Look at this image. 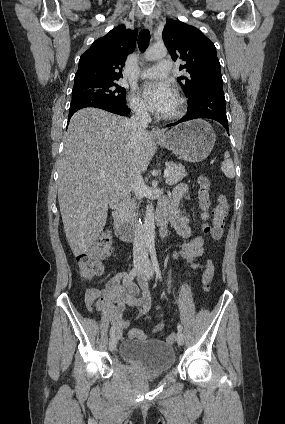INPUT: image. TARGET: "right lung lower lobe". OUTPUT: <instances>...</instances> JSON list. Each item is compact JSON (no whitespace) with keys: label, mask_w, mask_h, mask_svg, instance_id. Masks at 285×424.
<instances>
[{"label":"right lung lower lobe","mask_w":285,"mask_h":424,"mask_svg":"<svg viewBox=\"0 0 285 424\" xmlns=\"http://www.w3.org/2000/svg\"><path fill=\"white\" fill-rule=\"evenodd\" d=\"M86 107H95L122 116L130 113V110L126 104H119L107 99L97 97L80 96L72 98L71 100L68 121L76 111Z\"/></svg>","instance_id":"98d812e1"}]
</instances>
